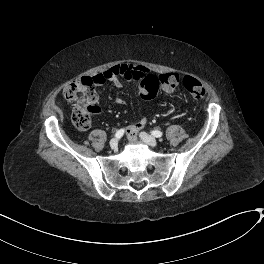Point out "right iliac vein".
Returning a JSON list of instances; mask_svg holds the SVG:
<instances>
[{
	"instance_id": "1",
	"label": "right iliac vein",
	"mask_w": 264,
	"mask_h": 264,
	"mask_svg": "<svg viewBox=\"0 0 264 264\" xmlns=\"http://www.w3.org/2000/svg\"><path fill=\"white\" fill-rule=\"evenodd\" d=\"M110 147H111L113 150H116L117 147H118V139L113 138V139L110 141Z\"/></svg>"
}]
</instances>
